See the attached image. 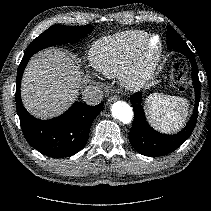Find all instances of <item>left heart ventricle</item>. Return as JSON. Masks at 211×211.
<instances>
[{"label":"left heart ventricle","instance_id":"obj_1","mask_svg":"<svg viewBox=\"0 0 211 211\" xmlns=\"http://www.w3.org/2000/svg\"><path fill=\"white\" fill-rule=\"evenodd\" d=\"M155 47H156V41L154 40V41H152V42L150 43V49H151V50H154Z\"/></svg>","mask_w":211,"mask_h":211}]
</instances>
